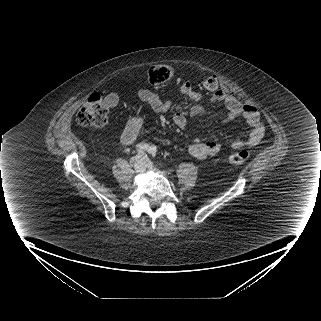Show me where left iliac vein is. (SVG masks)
<instances>
[{
	"mask_svg": "<svg viewBox=\"0 0 321 321\" xmlns=\"http://www.w3.org/2000/svg\"><path fill=\"white\" fill-rule=\"evenodd\" d=\"M144 157V156H143ZM145 158V157H144ZM145 165H146V167L148 168V169H153L154 167H153V164L150 162V161H146L145 162Z\"/></svg>",
	"mask_w": 321,
	"mask_h": 321,
	"instance_id": "obj_1",
	"label": "left iliac vein"
}]
</instances>
